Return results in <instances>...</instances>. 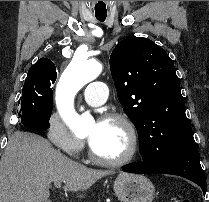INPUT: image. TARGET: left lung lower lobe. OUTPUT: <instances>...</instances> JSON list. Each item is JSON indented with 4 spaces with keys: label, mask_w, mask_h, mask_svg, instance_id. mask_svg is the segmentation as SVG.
Here are the masks:
<instances>
[{
    "label": "left lung lower lobe",
    "mask_w": 209,
    "mask_h": 202,
    "mask_svg": "<svg viewBox=\"0 0 209 202\" xmlns=\"http://www.w3.org/2000/svg\"><path fill=\"white\" fill-rule=\"evenodd\" d=\"M123 171L139 174H172L187 178L199 185L205 195L206 178L200 165L199 151L195 141L186 143L173 155L163 161L132 163L123 167Z\"/></svg>",
    "instance_id": "1"
}]
</instances>
